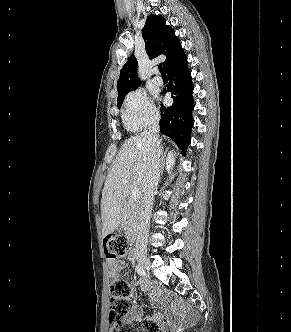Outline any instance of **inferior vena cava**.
Returning <instances> with one entry per match:
<instances>
[{
  "label": "inferior vena cava",
  "mask_w": 291,
  "mask_h": 332,
  "mask_svg": "<svg viewBox=\"0 0 291 332\" xmlns=\"http://www.w3.org/2000/svg\"><path fill=\"white\" fill-rule=\"evenodd\" d=\"M159 119L156 118L151 126L142 134V140L146 144V173L142 188V202L138 211L136 222L137 235L135 251L139 254H146L147 239L149 232L154 192L157 189L161 175V151L158 139Z\"/></svg>",
  "instance_id": "obj_1"
}]
</instances>
